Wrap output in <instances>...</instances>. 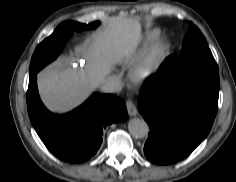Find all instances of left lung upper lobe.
<instances>
[{"label":"left lung upper lobe","mask_w":236,"mask_h":182,"mask_svg":"<svg viewBox=\"0 0 236 182\" xmlns=\"http://www.w3.org/2000/svg\"><path fill=\"white\" fill-rule=\"evenodd\" d=\"M160 70H164L162 76L165 86L193 84L220 88L217 63L205 37L193 24L184 37L180 56L168 57Z\"/></svg>","instance_id":"5c2ea615"}]
</instances>
